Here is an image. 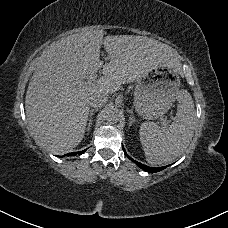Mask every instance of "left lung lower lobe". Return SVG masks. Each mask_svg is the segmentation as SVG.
Returning <instances> with one entry per match:
<instances>
[{
    "mask_svg": "<svg viewBox=\"0 0 228 228\" xmlns=\"http://www.w3.org/2000/svg\"><path fill=\"white\" fill-rule=\"evenodd\" d=\"M123 150H124V152H125V155H127L124 148H123ZM128 158L131 159L132 161H134L131 157L128 156ZM134 162H136V161H134ZM136 164H137L141 169H143V170H145V171H147V172H150V173L159 172V171H161V170H163V169H165V168L167 167V166H166V167H159V168L149 167V166H146V165H144V164H142V163H139V162H136Z\"/></svg>",
    "mask_w": 228,
    "mask_h": 228,
    "instance_id": "0a47b994",
    "label": "left lung lower lobe"
}]
</instances>
